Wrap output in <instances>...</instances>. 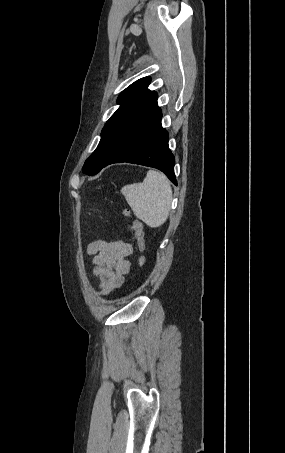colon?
I'll list each match as a JSON object with an SVG mask.
<instances>
[{
  "label": "colon",
  "mask_w": 285,
  "mask_h": 453,
  "mask_svg": "<svg viewBox=\"0 0 285 453\" xmlns=\"http://www.w3.org/2000/svg\"><path fill=\"white\" fill-rule=\"evenodd\" d=\"M123 214L126 217H131L129 210H124ZM131 229L133 231L134 237L137 242V246L140 252V256L138 258V262L140 265L145 263V250H146V239H145V229L144 225L140 220L133 219Z\"/></svg>",
  "instance_id": "5ec220e1"
}]
</instances>
